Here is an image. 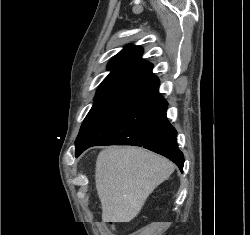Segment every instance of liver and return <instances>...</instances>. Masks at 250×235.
I'll return each mask as SVG.
<instances>
[{
    "instance_id": "6515ba94",
    "label": "liver",
    "mask_w": 250,
    "mask_h": 235,
    "mask_svg": "<svg viewBox=\"0 0 250 235\" xmlns=\"http://www.w3.org/2000/svg\"><path fill=\"white\" fill-rule=\"evenodd\" d=\"M166 158L143 148L108 147L96 160L95 182L104 222H130L173 173Z\"/></svg>"
}]
</instances>
